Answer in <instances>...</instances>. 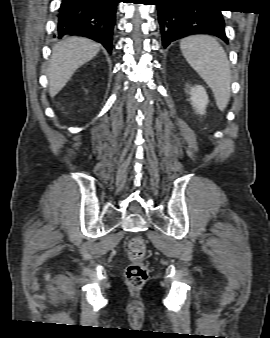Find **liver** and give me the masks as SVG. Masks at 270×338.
I'll list each match as a JSON object with an SVG mask.
<instances>
[{
    "mask_svg": "<svg viewBox=\"0 0 270 338\" xmlns=\"http://www.w3.org/2000/svg\"><path fill=\"white\" fill-rule=\"evenodd\" d=\"M99 50L98 43L85 38L72 37L57 43L46 72L50 97L57 95L74 72L92 60Z\"/></svg>",
    "mask_w": 270,
    "mask_h": 338,
    "instance_id": "1",
    "label": "liver"
}]
</instances>
